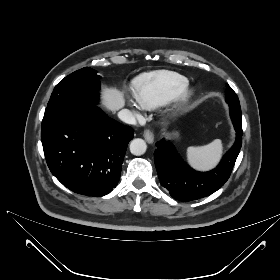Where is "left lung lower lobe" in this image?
Here are the masks:
<instances>
[{
  "label": "left lung lower lobe",
  "instance_id": "0a47b994",
  "mask_svg": "<svg viewBox=\"0 0 280 280\" xmlns=\"http://www.w3.org/2000/svg\"><path fill=\"white\" fill-rule=\"evenodd\" d=\"M230 116L237 132L236 141L220 164L209 172H197L187 166L171 143L164 139L156 143L155 167L161 185L179 201L197 200L217 191L230 177L242 145L241 114L235 110Z\"/></svg>",
  "mask_w": 280,
  "mask_h": 280
}]
</instances>
